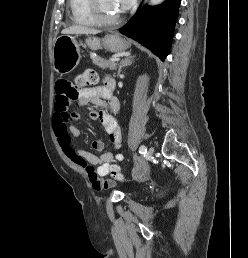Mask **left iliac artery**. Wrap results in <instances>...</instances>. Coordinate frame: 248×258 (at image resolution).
Instances as JSON below:
<instances>
[{
    "label": "left iliac artery",
    "mask_w": 248,
    "mask_h": 258,
    "mask_svg": "<svg viewBox=\"0 0 248 258\" xmlns=\"http://www.w3.org/2000/svg\"><path fill=\"white\" fill-rule=\"evenodd\" d=\"M139 153L140 154H146L147 153V148L145 145H141L139 148Z\"/></svg>",
    "instance_id": "44dca946"
}]
</instances>
